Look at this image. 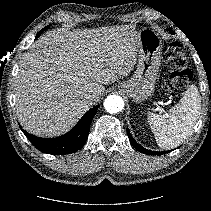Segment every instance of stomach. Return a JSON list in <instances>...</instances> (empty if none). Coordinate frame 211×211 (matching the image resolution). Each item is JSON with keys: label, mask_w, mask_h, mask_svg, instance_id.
<instances>
[{"label": "stomach", "mask_w": 211, "mask_h": 211, "mask_svg": "<svg viewBox=\"0 0 211 211\" xmlns=\"http://www.w3.org/2000/svg\"><path fill=\"white\" fill-rule=\"evenodd\" d=\"M137 69L134 75L121 84V88L136 103L152 96L160 67L161 42L150 29L138 31Z\"/></svg>", "instance_id": "1"}]
</instances>
